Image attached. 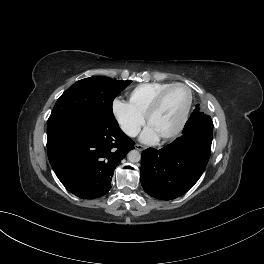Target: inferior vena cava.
<instances>
[{
    "label": "inferior vena cava",
    "instance_id": "inferior-vena-cava-1",
    "mask_svg": "<svg viewBox=\"0 0 264 264\" xmlns=\"http://www.w3.org/2000/svg\"><path fill=\"white\" fill-rule=\"evenodd\" d=\"M122 130L124 131L125 134H127L130 137H135L139 134L140 132V127L135 126V125H123Z\"/></svg>",
    "mask_w": 264,
    "mask_h": 264
}]
</instances>
